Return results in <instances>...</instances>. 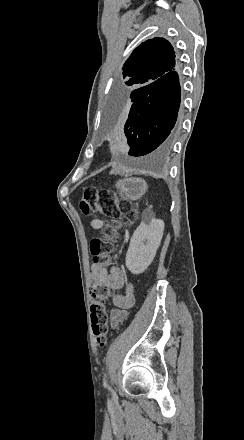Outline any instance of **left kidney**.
Masks as SVG:
<instances>
[{"mask_svg":"<svg viewBox=\"0 0 244 440\" xmlns=\"http://www.w3.org/2000/svg\"><path fill=\"white\" fill-rule=\"evenodd\" d=\"M163 220L141 222L135 230L126 254V268L131 274H142L152 264L163 238Z\"/></svg>","mask_w":244,"mask_h":440,"instance_id":"left-kidney-1","label":"left kidney"}]
</instances>
